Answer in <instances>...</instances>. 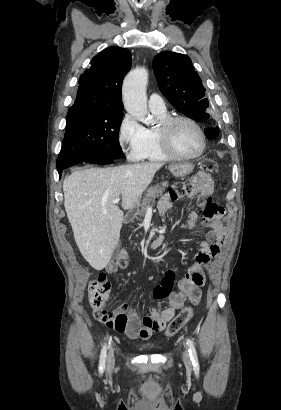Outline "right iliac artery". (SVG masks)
<instances>
[{
	"mask_svg": "<svg viewBox=\"0 0 281 410\" xmlns=\"http://www.w3.org/2000/svg\"><path fill=\"white\" fill-rule=\"evenodd\" d=\"M106 351L107 347L106 345L103 346L100 354V361H99V371L103 372L105 369V364H106Z\"/></svg>",
	"mask_w": 281,
	"mask_h": 410,
	"instance_id": "1",
	"label": "right iliac artery"
}]
</instances>
